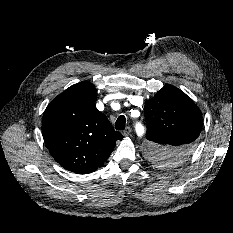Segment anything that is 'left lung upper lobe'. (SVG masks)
Here are the masks:
<instances>
[{
  "label": "left lung upper lobe",
  "instance_id": "1",
  "mask_svg": "<svg viewBox=\"0 0 233 233\" xmlns=\"http://www.w3.org/2000/svg\"><path fill=\"white\" fill-rule=\"evenodd\" d=\"M144 115L150 141L146 154L151 161L175 166L192 153L202 129V114L183 91L164 86L146 101Z\"/></svg>",
  "mask_w": 233,
  "mask_h": 233
}]
</instances>
